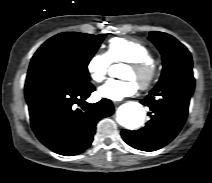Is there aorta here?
<instances>
[{
  "mask_svg": "<svg viewBox=\"0 0 212 183\" xmlns=\"http://www.w3.org/2000/svg\"><path fill=\"white\" fill-rule=\"evenodd\" d=\"M115 67H111L112 72ZM145 111L140 103L128 102L120 106L117 111V121L123 127L133 130L141 127L144 123Z\"/></svg>",
  "mask_w": 212,
  "mask_h": 183,
  "instance_id": "aorta-1",
  "label": "aorta"
}]
</instances>
